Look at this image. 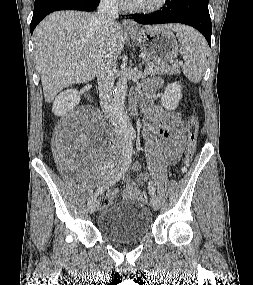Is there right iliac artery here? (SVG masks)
Returning <instances> with one entry per match:
<instances>
[{"label":"right iliac artery","instance_id":"1","mask_svg":"<svg viewBox=\"0 0 253 285\" xmlns=\"http://www.w3.org/2000/svg\"><path fill=\"white\" fill-rule=\"evenodd\" d=\"M125 143H126V151H125V161L120 170L104 185L98 188L95 195H99L104 193L106 189H109L111 186L116 184L122 176L125 174V172L129 169L130 163H131V157H132V142L131 137H125Z\"/></svg>","mask_w":253,"mask_h":285}]
</instances>
